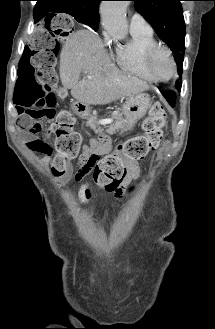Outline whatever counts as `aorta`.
<instances>
[{"label":"aorta","mask_w":215,"mask_h":329,"mask_svg":"<svg viewBox=\"0 0 215 329\" xmlns=\"http://www.w3.org/2000/svg\"><path fill=\"white\" fill-rule=\"evenodd\" d=\"M127 5L128 1H103L100 7L104 29L118 39H124L128 33Z\"/></svg>","instance_id":"762f6f07"}]
</instances>
